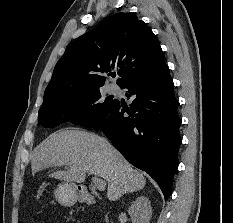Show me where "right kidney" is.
I'll list each match as a JSON object with an SVG mask.
<instances>
[{"instance_id": "obj_1", "label": "right kidney", "mask_w": 233, "mask_h": 223, "mask_svg": "<svg viewBox=\"0 0 233 223\" xmlns=\"http://www.w3.org/2000/svg\"><path fill=\"white\" fill-rule=\"evenodd\" d=\"M128 213L132 219V223H150L152 217V207L149 197L140 195L128 207Z\"/></svg>"}]
</instances>
